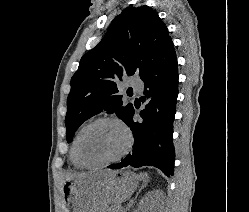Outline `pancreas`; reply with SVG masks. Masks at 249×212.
Segmentation results:
<instances>
[{
    "label": "pancreas",
    "instance_id": "1",
    "mask_svg": "<svg viewBox=\"0 0 249 212\" xmlns=\"http://www.w3.org/2000/svg\"><path fill=\"white\" fill-rule=\"evenodd\" d=\"M104 212H119V210H112V208H110V206H105Z\"/></svg>",
    "mask_w": 249,
    "mask_h": 212
}]
</instances>
